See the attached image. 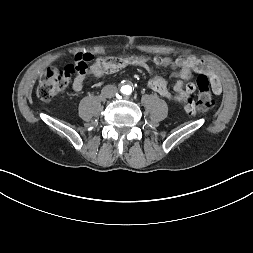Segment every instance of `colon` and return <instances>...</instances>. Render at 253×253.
I'll use <instances>...</instances> for the list:
<instances>
[{"instance_id": "5ec220e1", "label": "colon", "mask_w": 253, "mask_h": 253, "mask_svg": "<svg viewBox=\"0 0 253 253\" xmlns=\"http://www.w3.org/2000/svg\"><path fill=\"white\" fill-rule=\"evenodd\" d=\"M92 56L82 57L73 63L60 68H50L45 71L37 86L36 94L41 100H50L66 88L70 79L75 75L85 74L88 62ZM199 97L197 98L198 112L208 110L212 104L209 80L205 74H199L196 80Z\"/></svg>"}]
</instances>
